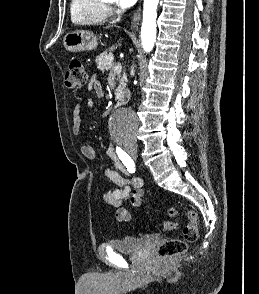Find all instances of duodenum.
<instances>
[{
	"mask_svg": "<svg viewBox=\"0 0 259 294\" xmlns=\"http://www.w3.org/2000/svg\"><path fill=\"white\" fill-rule=\"evenodd\" d=\"M127 95H121L119 97V100L117 102V107H121L124 105V100L126 99Z\"/></svg>",
	"mask_w": 259,
	"mask_h": 294,
	"instance_id": "duodenum-1",
	"label": "duodenum"
}]
</instances>
